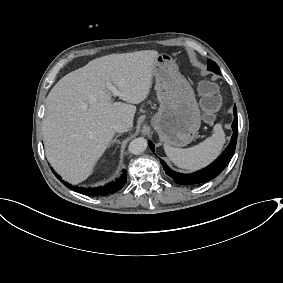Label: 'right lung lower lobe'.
<instances>
[{"label": "right lung lower lobe", "mask_w": 283, "mask_h": 283, "mask_svg": "<svg viewBox=\"0 0 283 283\" xmlns=\"http://www.w3.org/2000/svg\"><path fill=\"white\" fill-rule=\"evenodd\" d=\"M53 173L66 187H68L71 190H74L78 193L88 195V196H98V195L112 194V193L120 190L125 185V183L127 181L126 170H123V174L115 182H111L107 185H104L103 187H98V188H93V189L87 188L86 189V188L72 186V185L64 182L63 180H61V178L54 171H53Z\"/></svg>", "instance_id": "98d812e1"}]
</instances>
